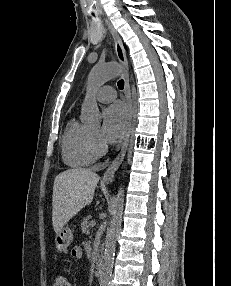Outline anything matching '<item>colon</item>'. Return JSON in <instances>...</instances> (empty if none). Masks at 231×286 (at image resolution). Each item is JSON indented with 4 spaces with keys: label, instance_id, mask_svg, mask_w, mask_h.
Returning a JSON list of instances; mask_svg holds the SVG:
<instances>
[{
    "label": "colon",
    "instance_id": "1",
    "mask_svg": "<svg viewBox=\"0 0 231 286\" xmlns=\"http://www.w3.org/2000/svg\"><path fill=\"white\" fill-rule=\"evenodd\" d=\"M52 286H71V283L67 277L59 275L54 279Z\"/></svg>",
    "mask_w": 231,
    "mask_h": 286
}]
</instances>
